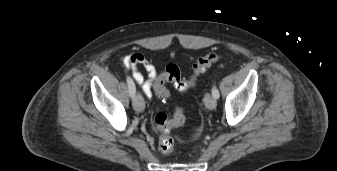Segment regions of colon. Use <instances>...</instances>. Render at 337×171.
Listing matches in <instances>:
<instances>
[{
	"mask_svg": "<svg viewBox=\"0 0 337 171\" xmlns=\"http://www.w3.org/2000/svg\"><path fill=\"white\" fill-rule=\"evenodd\" d=\"M219 59L215 52H209L199 57L193 65L192 73L188 77H183L179 68L174 64L166 66L165 71L160 74L155 82L154 91L162 99L169 98V90L166 83H172L179 91H186L196 85L197 78L204 73L213 63ZM185 121L184 111L180 107H175L173 114L169 117L165 113H157L154 117V124L158 134V148L163 155H169L173 151L174 141L171 130L182 125ZM190 133H185L188 137Z\"/></svg>",
	"mask_w": 337,
	"mask_h": 171,
	"instance_id": "5ec220e1",
	"label": "colon"
}]
</instances>
